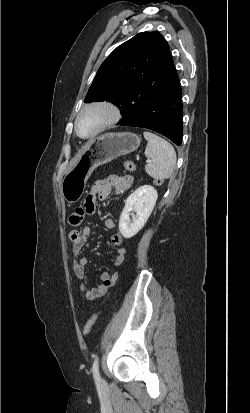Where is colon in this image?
Instances as JSON below:
<instances>
[{"label": "colon", "mask_w": 250, "mask_h": 413, "mask_svg": "<svg viewBox=\"0 0 250 413\" xmlns=\"http://www.w3.org/2000/svg\"><path fill=\"white\" fill-rule=\"evenodd\" d=\"M124 166H125L126 170H128V171H135L136 170V165L133 161H130V160L126 161ZM150 185L155 186V187H164L166 185V180L164 178L151 179L150 180ZM85 207H86L85 205H84V207H77L70 214L69 224L72 227H78V226L82 225V223L84 222V219H85V212L84 211L86 209ZM97 318H98V314H94L93 316H91L87 320V322L85 323L84 328H83V334L85 336L88 335L91 332Z\"/></svg>", "instance_id": "obj_1"}]
</instances>
